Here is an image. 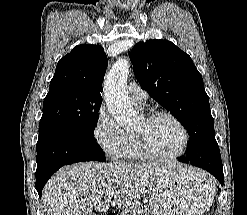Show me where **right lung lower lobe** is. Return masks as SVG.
<instances>
[{
	"instance_id": "obj_1",
	"label": "right lung lower lobe",
	"mask_w": 247,
	"mask_h": 215,
	"mask_svg": "<svg viewBox=\"0 0 247 215\" xmlns=\"http://www.w3.org/2000/svg\"><path fill=\"white\" fill-rule=\"evenodd\" d=\"M36 149V190L39 197L48 179L63 165L106 160L101 147L94 139L66 128L46 129L39 133Z\"/></svg>"
}]
</instances>
